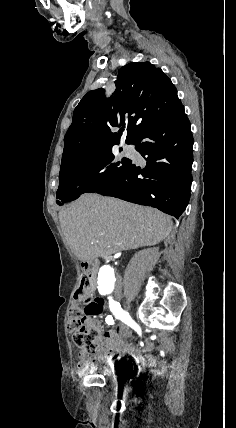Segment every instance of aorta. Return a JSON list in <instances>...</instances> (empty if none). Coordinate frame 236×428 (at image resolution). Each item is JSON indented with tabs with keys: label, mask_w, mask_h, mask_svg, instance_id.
<instances>
[{
	"label": "aorta",
	"mask_w": 236,
	"mask_h": 428,
	"mask_svg": "<svg viewBox=\"0 0 236 428\" xmlns=\"http://www.w3.org/2000/svg\"><path fill=\"white\" fill-rule=\"evenodd\" d=\"M118 279L119 277L112 266L107 264L103 265L99 269L97 282L100 293L103 295L114 293L117 287Z\"/></svg>",
	"instance_id": "762f6f07"
}]
</instances>
